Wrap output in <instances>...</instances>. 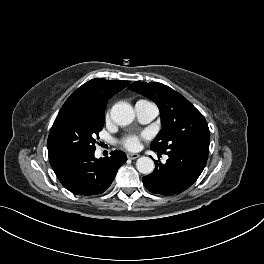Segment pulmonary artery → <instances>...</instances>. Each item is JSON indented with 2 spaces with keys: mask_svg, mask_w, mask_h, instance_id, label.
Returning <instances> with one entry per match:
<instances>
[{
  "mask_svg": "<svg viewBox=\"0 0 264 264\" xmlns=\"http://www.w3.org/2000/svg\"><path fill=\"white\" fill-rule=\"evenodd\" d=\"M135 112L138 120L143 123L151 122L158 114L157 107L148 101L140 100L135 104Z\"/></svg>",
  "mask_w": 264,
  "mask_h": 264,
  "instance_id": "1",
  "label": "pulmonary artery"
}]
</instances>
